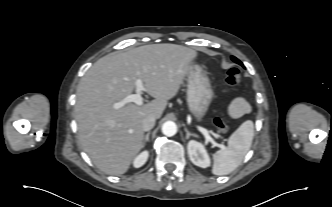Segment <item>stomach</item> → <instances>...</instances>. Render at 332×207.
Returning <instances> with one entry per match:
<instances>
[{
	"instance_id": "obj_1",
	"label": "stomach",
	"mask_w": 332,
	"mask_h": 207,
	"mask_svg": "<svg viewBox=\"0 0 332 207\" xmlns=\"http://www.w3.org/2000/svg\"><path fill=\"white\" fill-rule=\"evenodd\" d=\"M213 98L207 73L199 65H192L187 74V104L197 121H202Z\"/></svg>"
}]
</instances>
